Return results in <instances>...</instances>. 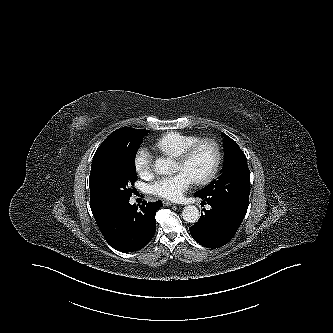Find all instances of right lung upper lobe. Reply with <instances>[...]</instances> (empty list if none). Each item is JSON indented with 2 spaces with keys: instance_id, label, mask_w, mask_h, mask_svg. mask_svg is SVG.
Returning a JSON list of instances; mask_svg holds the SVG:
<instances>
[{
  "instance_id": "1",
  "label": "right lung upper lobe",
  "mask_w": 333,
  "mask_h": 333,
  "mask_svg": "<svg viewBox=\"0 0 333 333\" xmlns=\"http://www.w3.org/2000/svg\"><path fill=\"white\" fill-rule=\"evenodd\" d=\"M143 131V129H134V128H120L112 132L104 141L103 143L99 146L97 151L95 152L93 162H92V167L91 171L93 168L94 163L100 156V154L105 151L106 149L110 148L111 146L115 145L119 141L133 135L136 133H139ZM89 187H90V207L92 210L93 215H96L99 211H101L104 207L107 205L100 199L95 186L93 184L92 178H91V173H90V179H89Z\"/></svg>"
}]
</instances>
